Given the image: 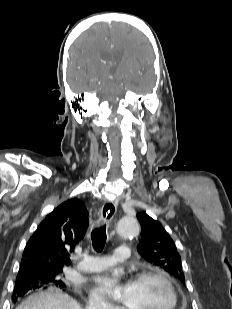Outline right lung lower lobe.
Here are the masks:
<instances>
[{
	"mask_svg": "<svg viewBox=\"0 0 232 309\" xmlns=\"http://www.w3.org/2000/svg\"><path fill=\"white\" fill-rule=\"evenodd\" d=\"M42 288L38 282L25 283L21 285H15L12 300L16 301L18 297H22L29 292Z\"/></svg>",
	"mask_w": 232,
	"mask_h": 309,
	"instance_id": "1",
	"label": "right lung lower lobe"
}]
</instances>
